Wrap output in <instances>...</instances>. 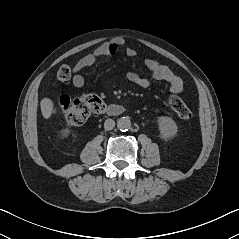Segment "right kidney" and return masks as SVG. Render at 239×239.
Segmentation results:
<instances>
[{
    "label": "right kidney",
    "mask_w": 239,
    "mask_h": 239,
    "mask_svg": "<svg viewBox=\"0 0 239 239\" xmlns=\"http://www.w3.org/2000/svg\"><path fill=\"white\" fill-rule=\"evenodd\" d=\"M68 133H69L68 130H63L61 135H62V137H66L68 135Z\"/></svg>",
    "instance_id": "ca27d5eb"
}]
</instances>
